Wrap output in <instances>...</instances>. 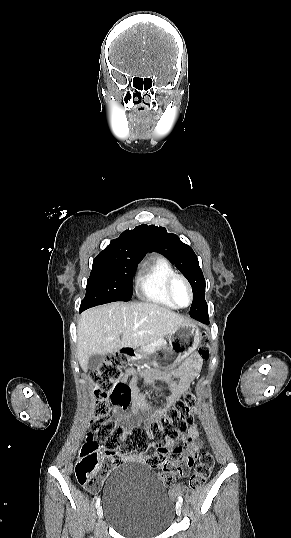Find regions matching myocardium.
<instances>
[{
  "instance_id": "obj_1",
  "label": "myocardium",
  "mask_w": 291,
  "mask_h": 538,
  "mask_svg": "<svg viewBox=\"0 0 291 538\" xmlns=\"http://www.w3.org/2000/svg\"><path fill=\"white\" fill-rule=\"evenodd\" d=\"M182 282L187 290H188V294H189V302L185 305V306H182L180 304L177 303L176 299H175V295H174V287H175V284L177 282ZM167 294L170 298V300L172 301V303L174 304V306L176 308H187L189 307L192 302H193V289H192V286L190 284V282L188 281V279L186 277H184L183 275L181 274H174L173 276H171L168 281H167Z\"/></svg>"
}]
</instances>
